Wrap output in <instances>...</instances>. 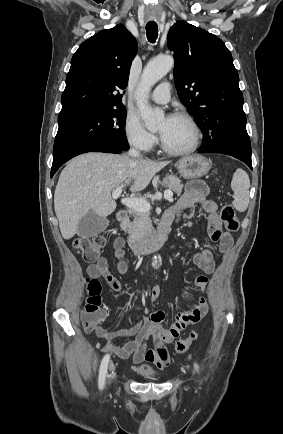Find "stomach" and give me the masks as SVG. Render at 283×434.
Listing matches in <instances>:
<instances>
[{
	"label": "stomach",
	"mask_w": 283,
	"mask_h": 434,
	"mask_svg": "<svg viewBox=\"0 0 283 434\" xmlns=\"http://www.w3.org/2000/svg\"><path fill=\"white\" fill-rule=\"evenodd\" d=\"M176 167L185 179L200 178L208 173L211 168L210 162L201 155H192L181 158Z\"/></svg>",
	"instance_id": "obj_1"
}]
</instances>
